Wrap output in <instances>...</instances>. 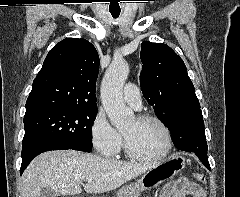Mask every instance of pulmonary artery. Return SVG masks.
<instances>
[{
    "label": "pulmonary artery",
    "instance_id": "1",
    "mask_svg": "<svg viewBox=\"0 0 240 197\" xmlns=\"http://www.w3.org/2000/svg\"><path fill=\"white\" fill-rule=\"evenodd\" d=\"M123 98L126 103L139 109L141 106V95L139 88L133 83H127L123 89Z\"/></svg>",
    "mask_w": 240,
    "mask_h": 197
}]
</instances>
